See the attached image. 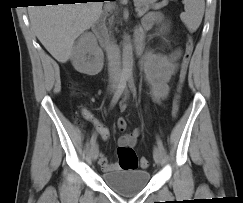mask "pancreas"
<instances>
[{
    "label": "pancreas",
    "instance_id": "pancreas-1",
    "mask_svg": "<svg viewBox=\"0 0 243 203\" xmlns=\"http://www.w3.org/2000/svg\"><path fill=\"white\" fill-rule=\"evenodd\" d=\"M136 10H140L143 14L149 11L150 8L158 9L160 7L166 6L168 4V0H163L159 4H155L157 0H133ZM113 22V18L111 23Z\"/></svg>",
    "mask_w": 243,
    "mask_h": 203
}]
</instances>
